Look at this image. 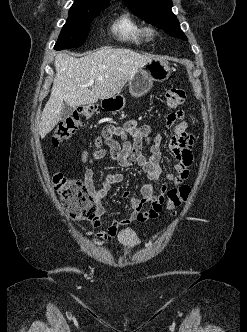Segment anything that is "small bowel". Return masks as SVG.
Returning <instances> with one entry per match:
<instances>
[{"label":"small bowel","mask_w":247,"mask_h":332,"mask_svg":"<svg viewBox=\"0 0 247 332\" xmlns=\"http://www.w3.org/2000/svg\"><path fill=\"white\" fill-rule=\"evenodd\" d=\"M183 118L184 113L178 111L169 115L167 119L170 124L179 121L174 128V134L169 143L170 150L176 158V163L173 168L174 171L167 174V179L172 182L175 188L180 187L187 179L188 169L193 162L194 135L188 131L187 123L182 120ZM115 136L122 138L123 142H117L114 139ZM102 138L106 147L102 146V139L97 138L91 155L85 154L83 157L85 162L84 185L96 205V216L86 235H92L95 228L103 226V218L109 212L103 201L108 193L109 186L120 183L124 179L121 173H109L105 175L102 186L96 187L94 170L92 169L94 163L108 156L113 162L124 168L139 166L147 176V182L141 187V197H133L130 200L131 213L119 221H113L109 224L106 232L96 235L99 241L107 242L117 236L120 226L157 219L162 212L169 188L164 185L156 192L157 182L162 174L160 166L162 137L160 134H154L150 125L146 123L139 124L136 120H129L122 127L113 125L106 127L103 130ZM145 145H149L150 148L148 157L143 154ZM121 196L128 198L129 192L124 191ZM145 204H149V207L145 208Z\"/></svg>","instance_id":"small-bowel-1"}]
</instances>
